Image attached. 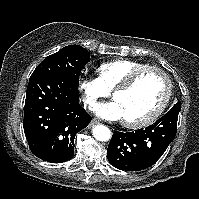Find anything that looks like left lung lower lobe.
I'll return each instance as SVG.
<instances>
[{
	"label": "left lung lower lobe",
	"mask_w": 199,
	"mask_h": 199,
	"mask_svg": "<svg viewBox=\"0 0 199 199\" xmlns=\"http://www.w3.org/2000/svg\"><path fill=\"white\" fill-rule=\"evenodd\" d=\"M179 110L171 109L154 124L133 132L114 131L108 161L123 171H140L155 164L174 140Z\"/></svg>",
	"instance_id": "1"
}]
</instances>
